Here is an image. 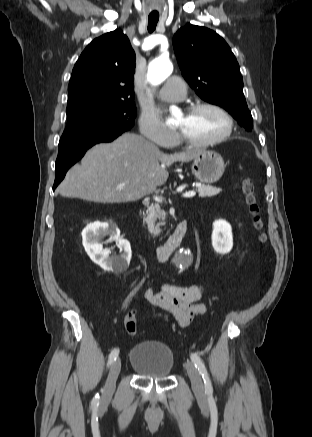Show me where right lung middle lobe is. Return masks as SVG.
Returning a JSON list of instances; mask_svg holds the SVG:
<instances>
[{"instance_id": "right-lung-middle-lobe-1", "label": "right lung middle lobe", "mask_w": 312, "mask_h": 437, "mask_svg": "<svg viewBox=\"0 0 312 437\" xmlns=\"http://www.w3.org/2000/svg\"><path fill=\"white\" fill-rule=\"evenodd\" d=\"M67 126L59 151L82 142L131 129L136 117L133 102H83L67 107Z\"/></svg>"}]
</instances>
